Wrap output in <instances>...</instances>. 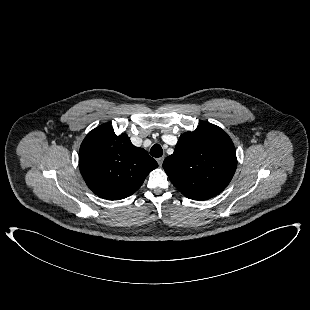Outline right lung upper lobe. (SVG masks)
<instances>
[{
    "label": "right lung upper lobe",
    "instance_id": "obj_1",
    "mask_svg": "<svg viewBox=\"0 0 310 310\" xmlns=\"http://www.w3.org/2000/svg\"><path fill=\"white\" fill-rule=\"evenodd\" d=\"M158 166L127 134L117 136L108 123L93 129L79 151V168L87 186L99 197L124 199L136 192Z\"/></svg>",
    "mask_w": 310,
    "mask_h": 310
}]
</instances>
